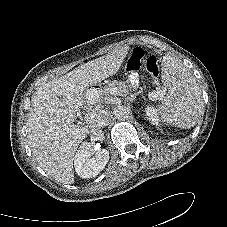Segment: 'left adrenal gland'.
Wrapping results in <instances>:
<instances>
[{"label":"left adrenal gland","instance_id":"1","mask_svg":"<svg viewBox=\"0 0 227 227\" xmlns=\"http://www.w3.org/2000/svg\"><path fill=\"white\" fill-rule=\"evenodd\" d=\"M136 98V94L135 95H131L130 97H127L126 100L127 101H130V102H133Z\"/></svg>","mask_w":227,"mask_h":227}]
</instances>
